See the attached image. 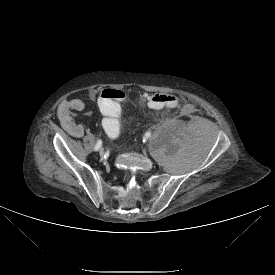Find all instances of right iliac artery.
Wrapping results in <instances>:
<instances>
[{
    "label": "right iliac artery",
    "mask_w": 275,
    "mask_h": 275,
    "mask_svg": "<svg viewBox=\"0 0 275 275\" xmlns=\"http://www.w3.org/2000/svg\"><path fill=\"white\" fill-rule=\"evenodd\" d=\"M101 146H102V141L98 140L95 147H94V150H96V151L99 150L101 148Z\"/></svg>",
    "instance_id": "obj_1"
}]
</instances>
